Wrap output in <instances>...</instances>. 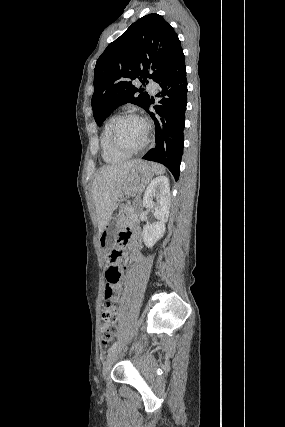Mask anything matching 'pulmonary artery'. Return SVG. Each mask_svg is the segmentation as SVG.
I'll return each instance as SVG.
<instances>
[{"label": "pulmonary artery", "mask_w": 285, "mask_h": 427, "mask_svg": "<svg viewBox=\"0 0 285 427\" xmlns=\"http://www.w3.org/2000/svg\"><path fill=\"white\" fill-rule=\"evenodd\" d=\"M149 86H150V89H151L153 92H155V91H156V89H157V85H156V83H154L152 80H150V81H149Z\"/></svg>", "instance_id": "pulmonary-artery-1"}]
</instances>
